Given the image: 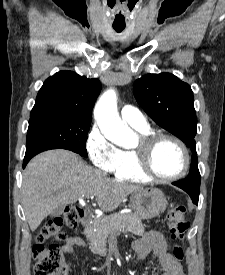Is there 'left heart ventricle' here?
Masks as SVG:
<instances>
[{
	"mask_svg": "<svg viewBox=\"0 0 225 275\" xmlns=\"http://www.w3.org/2000/svg\"><path fill=\"white\" fill-rule=\"evenodd\" d=\"M184 157L177 144L169 140L161 141L152 155L154 170L163 176L177 174L183 167Z\"/></svg>",
	"mask_w": 225,
	"mask_h": 275,
	"instance_id": "obj_1",
	"label": "left heart ventricle"
}]
</instances>
